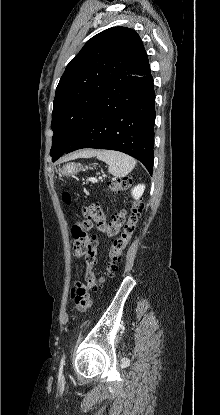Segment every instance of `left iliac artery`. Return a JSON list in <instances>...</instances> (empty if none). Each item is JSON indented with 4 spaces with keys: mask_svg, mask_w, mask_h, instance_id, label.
Here are the masks:
<instances>
[{
    "mask_svg": "<svg viewBox=\"0 0 220 415\" xmlns=\"http://www.w3.org/2000/svg\"><path fill=\"white\" fill-rule=\"evenodd\" d=\"M64 360H65V355L63 354L61 362L64 363Z\"/></svg>",
    "mask_w": 220,
    "mask_h": 415,
    "instance_id": "1",
    "label": "left iliac artery"
}]
</instances>
